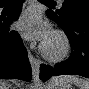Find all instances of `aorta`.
<instances>
[{
	"instance_id": "obj_1",
	"label": "aorta",
	"mask_w": 89,
	"mask_h": 89,
	"mask_svg": "<svg viewBox=\"0 0 89 89\" xmlns=\"http://www.w3.org/2000/svg\"><path fill=\"white\" fill-rule=\"evenodd\" d=\"M34 80H35V81H39V76H35V77H34ZM34 89H38V85H35V86H34Z\"/></svg>"
}]
</instances>
